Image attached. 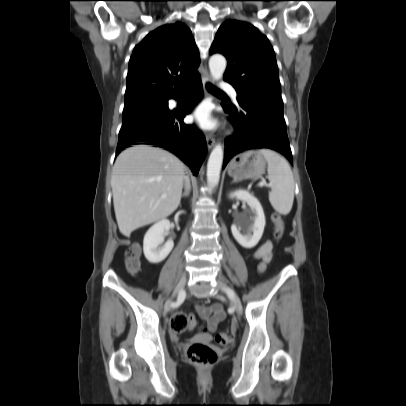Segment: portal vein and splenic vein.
I'll use <instances>...</instances> for the list:
<instances>
[{"label": "portal vein and splenic vein", "mask_w": 406, "mask_h": 406, "mask_svg": "<svg viewBox=\"0 0 406 406\" xmlns=\"http://www.w3.org/2000/svg\"><path fill=\"white\" fill-rule=\"evenodd\" d=\"M258 185H259L260 187H262V186L270 187V186H271V184H266L265 182H260ZM162 197L164 198V197H166V195H162Z\"/></svg>", "instance_id": "1"}]
</instances>
